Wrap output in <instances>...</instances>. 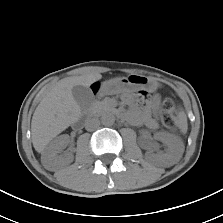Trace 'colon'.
<instances>
[{"label":"colon","instance_id":"1","mask_svg":"<svg viewBox=\"0 0 223 223\" xmlns=\"http://www.w3.org/2000/svg\"><path fill=\"white\" fill-rule=\"evenodd\" d=\"M174 101L171 98H166L164 100L163 103V108H164V112H165V116H164V124L166 127H168L169 129H175L176 128V121L174 119V117L171 115V112L174 109Z\"/></svg>","mask_w":223,"mask_h":223}]
</instances>
